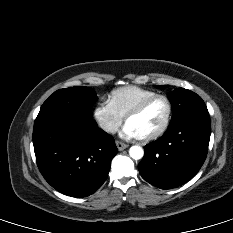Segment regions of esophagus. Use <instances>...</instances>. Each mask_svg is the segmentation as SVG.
<instances>
[{
    "mask_svg": "<svg viewBox=\"0 0 233 233\" xmlns=\"http://www.w3.org/2000/svg\"><path fill=\"white\" fill-rule=\"evenodd\" d=\"M116 146L118 148L119 151H123L124 149H126L129 145L126 143H123L121 141H116Z\"/></svg>",
    "mask_w": 233,
    "mask_h": 233,
    "instance_id": "esophagus-1",
    "label": "esophagus"
}]
</instances>
